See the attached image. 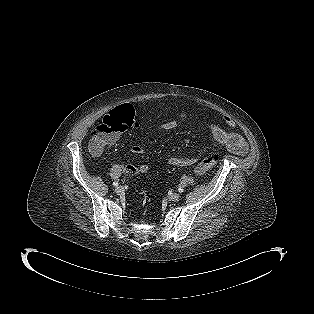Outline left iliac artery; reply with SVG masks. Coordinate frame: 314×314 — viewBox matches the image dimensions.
<instances>
[{
    "instance_id": "obj_1",
    "label": "left iliac artery",
    "mask_w": 314,
    "mask_h": 314,
    "mask_svg": "<svg viewBox=\"0 0 314 314\" xmlns=\"http://www.w3.org/2000/svg\"><path fill=\"white\" fill-rule=\"evenodd\" d=\"M178 191H179L180 193H182V192L184 191L183 187H179V188H178Z\"/></svg>"
}]
</instances>
